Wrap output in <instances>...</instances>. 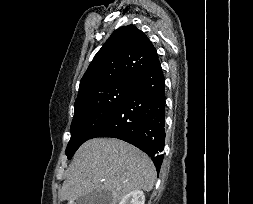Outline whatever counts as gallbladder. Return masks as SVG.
Returning <instances> with one entry per match:
<instances>
[{"label":"gallbladder","instance_id":"1","mask_svg":"<svg viewBox=\"0 0 253 204\" xmlns=\"http://www.w3.org/2000/svg\"><path fill=\"white\" fill-rule=\"evenodd\" d=\"M75 204H112V197L109 191L100 190L81 196Z\"/></svg>","mask_w":253,"mask_h":204}]
</instances>
